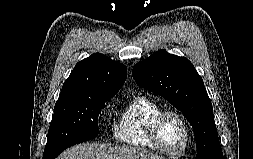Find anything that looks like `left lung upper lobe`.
Returning <instances> with one entry per match:
<instances>
[{
  "label": "left lung upper lobe",
  "instance_id": "5c2ea615",
  "mask_svg": "<svg viewBox=\"0 0 253 159\" xmlns=\"http://www.w3.org/2000/svg\"><path fill=\"white\" fill-rule=\"evenodd\" d=\"M138 86L167 99L193 127L197 159H219L223 153L213 108L201 76L184 57L159 50L132 70Z\"/></svg>",
  "mask_w": 253,
  "mask_h": 159
}]
</instances>
